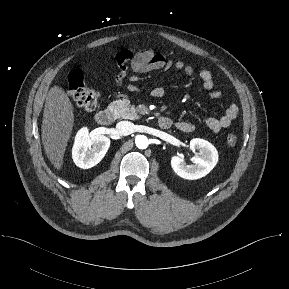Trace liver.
<instances>
[{
    "mask_svg": "<svg viewBox=\"0 0 289 289\" xmlns=\"http://www.w3.org/2000/svg\"><path fill=\"white\" fill-rule=\"evenodd\" d=\"M74 125V107L59 86L50 88L41 126L45 153L57 170H61L64 153Z\"/></svg>",
    "mask_w": 289,
    "mask_h": 289,
    "instance_id": "6515ba94",
    "label": "liver"
}]
</instances>
